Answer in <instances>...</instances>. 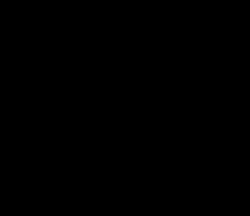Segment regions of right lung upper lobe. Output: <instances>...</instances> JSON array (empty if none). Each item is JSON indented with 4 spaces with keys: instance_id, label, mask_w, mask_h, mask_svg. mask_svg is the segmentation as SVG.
<instances>
[{
    "instance_id": "obj_1",
    "label": "right lung upper lobe",
    "mask_w": 250,
    "mask_h": 216,
    "mask_svg": "<svg viewBox=\"0 0 250 216\" xmlns=\"http://www.w3.org/2000/svg\"><path fill=\"white\" fill-rule=\"evenodd\" d=\"M111 48L110 44L108 42H97V43H92L85 47V50L90 51V50H103L106 49L109 50Z\"/></svg>"
}]
</instances>
